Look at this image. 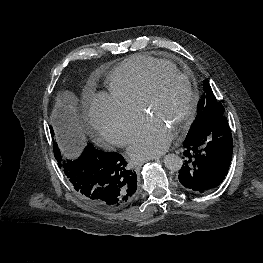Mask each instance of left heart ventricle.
<instances>
[{
	"mask_svg": "<svg viewBox=\"0 0 263 263\" xmlns=\"http://www.w3.org/2000/svg\"><path fill=\"white\" fill-rule=\"evenodd\" d=\"M189 103L186 83L176 77H163L158 82L155 95L147 106L146 115L175 131L178 120Z\"/></svg>",
	"mask_w": 263,
	"mask_h": 263,
	"instance_id": "obj_1",
	"label": "left heart ventricle"
}]
</instances>
